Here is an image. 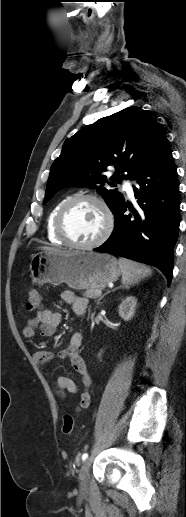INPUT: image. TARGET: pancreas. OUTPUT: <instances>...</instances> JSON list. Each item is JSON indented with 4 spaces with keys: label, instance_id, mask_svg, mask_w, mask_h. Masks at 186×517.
Instances as JSON below:
<instances>
[{
    "label": "pancreas",
    "instance_id": "pancreas-1",
    "mask_svg": "<svg viewBox=\"0 0 186 517\" xmlns=\"http://www.w3.org/2000/svg\"><path fill=\"white\" fill-rule=\"evenodd\" d=\"M99 289H87L83 296L86 298L97 299L99 296L96 294Z\"/></svg>",
    "mask_w": 186,
    "mask_h": 517
}]
</instances>
